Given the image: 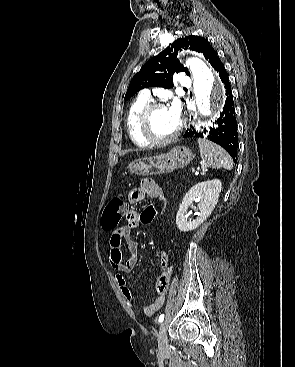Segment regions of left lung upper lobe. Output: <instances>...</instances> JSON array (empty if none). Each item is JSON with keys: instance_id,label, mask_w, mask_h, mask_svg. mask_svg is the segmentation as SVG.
<instances>
[{"instance_id": "1", "label": "left lung upper lobe", "mask_w": 295, "mask_h": 367, "mask_svg": "<svg viewBox=\"0 0 295 367\" xmlns=\"http://www.w3.org/2000/svg\"><path fill=\"white\" fill-rule=\"evenodd\" d=\"M182 49H190L202 53L212 67L219 58L210 43L200 36H186L175 40L169 47L157 56L147 61L141 70L132 78L125 99L148 87H163L170 89L174 86L173 75L185 72L190 75L188 69L180 64L177 53Z\"/></svg>"}]
</instances>
